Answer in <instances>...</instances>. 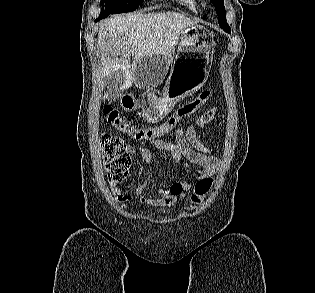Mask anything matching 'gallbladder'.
<instances>
[{"instance_id":"gallbladder-1","label":"gallbladder","mask_w":315,"mask_h":293,"mask_svg":"<svg viewBox=\"0 0 315 293\" xmlns=\"http://www.w3.org/2000/svg\"><path fill=\"white\" fill-rule=\"evenodd\" d=\"M105 82L109 89L108 100H115L116 95L114 94L119 93L118 88H120L125 82L123 71L118 70L116 72L114 71L110 73L109 75H106Z\"/></svg>"}]
</instances>
